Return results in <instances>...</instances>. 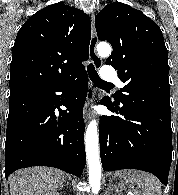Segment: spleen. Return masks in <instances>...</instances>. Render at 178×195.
Returning a JSON list of instances; mask_svg holds the SVG:
<instances>
[{"mask_svg": "<svg viewBox=\"0 0 178 195\" xmlns=\"http://www.w3.org/2000/svg\"><path fill=\"white\" fill-rule=\"evenodd\" d=\"M117 174L130 183L137 184L142 190L143 195H162L161 183L151 174L138 170H123L117 172Z\"/></svg>", "mask_w": 178, "mask_h": 195, "instance_id": "1", "label": "spleen"}]
</instances>
